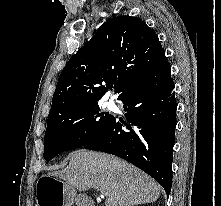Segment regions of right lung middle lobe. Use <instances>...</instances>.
<instances>
[{"label":"right lung middle lobe","mask_w":221,"mask_h":206,"mask_svg":"<svg viewBox=\"0 0 221 206\" xmlns=\"http://www.w3.org/2000/svg\"><path fill=\"white\" fill-rule=\"evenodd\" d=\"M112 118V115L100 113L98 103L61 109L49 115L44 140V159L49 161L62 151L83 146Z\"/></svg>","instance_id":"right-lung-middle-lobe-1"}]
</instances>
